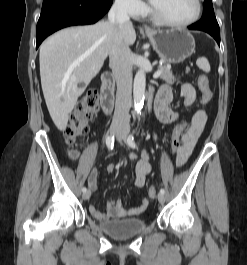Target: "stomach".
I'll return each mask as SVG.
<instances>
[{
	"mask_svg": "<svg viewBox=\"0 0 247 265\" xmlns=\"http://www.w3.org/2000/svg\"><path fill=\"white\" fill-rule=\"evenodd\" d=\"M146 35L158 56L168 63L183 62L195 51V40L184 29L148 30Z\"/></svg>",
	"mask_w": 247,
	"mask_h": 265,
	"instance_id": "1",
	"label": "stomach"
}]
</instances>
